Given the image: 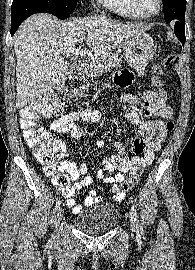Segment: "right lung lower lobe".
<instances>
[{
	"mask_svg": "<svg viewBox=\"0 0 195 270\" xmlns=\"http://www.w3.org/2000/svg\"><path fill=\"white\" fill-rule=\"evenodd\" d=\"M35 13H47L42 5L30 2H13L11 7V35H14L20 24Z\"/></svg>",
	"mask_w": 195,
	"mask_h": 270,
	"instance_id": "right-lung-lower-lobe-1",
	"label": "right lung lower lobe"
}]
</instances>
